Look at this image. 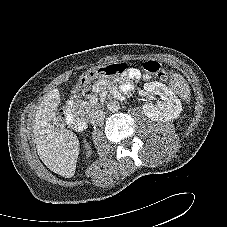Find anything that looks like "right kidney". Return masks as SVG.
<instances>
[{"mask_svg": "<svg viewBox=\"0 0 227 227\" xmlns=\"http://www.w3.org/2000/svg\"><path fill=\"white\" fill-rule=\"evenodd\" d=\"M91 154H92L91 150H87V152H86L87 157H90Z\"/></svg>", "mask_w": 227, "mask_h": 227, "instance_id": "1", "label": "right kidney"}]
</instances>
